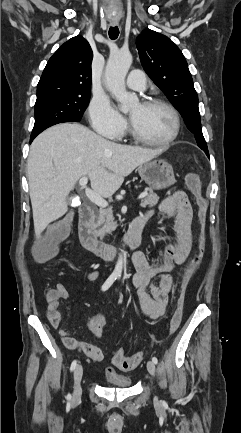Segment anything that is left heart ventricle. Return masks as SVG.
<instances>
[{
	"label": "left heart ventricle",
	"instance_id": "b2bd125f",
	"mask_svg": "<svg viewBox=\"0 0 241 433\" xmlns=\"http://www.w3.org/2000/svg\"><path fill=\"white\" fill-rule=\"evenodd\" d=\"M135 129L144 137L153 141L168 138L174 130V118L163 106L134 105L129 112Z\"/></svg>",
	"mask_w": 241,
	"mask_h": 433
}]
</instances>
